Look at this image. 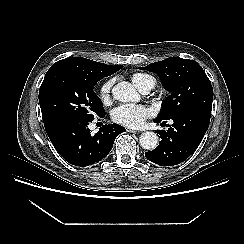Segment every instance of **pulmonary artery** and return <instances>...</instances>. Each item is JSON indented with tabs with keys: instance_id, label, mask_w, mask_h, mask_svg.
I'll list each match as a JSON object with an SVG mask.
<instances>
[{
	"instance_id": "pulmonary-artery-1",
	"label": "pulmonary artery",
	"mask_w": 244,
	"mask_h": 244,
	"mask_svg": "<svg viewBox=\"0 0 244 244\" xmlns=\"http://www.w3.org/2000/svg\"><path fill=\"white\" fill-rule=\"evenodd\" d=\"M154 85H155V81H154V79L152 78V79H150V80L147 82V84L140 90V92L143 93V94H147V93H149V92L153 89Z\"/></svg>"
}]
</instances>
